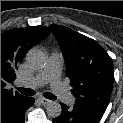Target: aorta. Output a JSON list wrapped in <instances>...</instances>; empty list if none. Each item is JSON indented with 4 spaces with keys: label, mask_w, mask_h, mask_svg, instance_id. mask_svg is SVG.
I'll list each match as a JSON object with an SVG mask.
<instances>
[{
    "label": "aorta",
    "mask_w": 123,
    "mask_h": 123,
    "mask_svg": "<svg viewBox=\"0 0 123 123\" xmlns=\"http://www.w3.org/2000/svg\"><path fill=\"white\" fill-rule=\"evenodd\" d=\"M26 63L34 69H40L46 64V55L40 49H31L26 54ZM46 112L48 116L52 118H57L62 112L60 103L56 101H51L47 104Z\"/></svg>",
    "instance_id": "762f6f07"
}]
</instances>
